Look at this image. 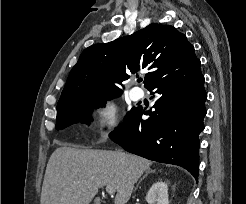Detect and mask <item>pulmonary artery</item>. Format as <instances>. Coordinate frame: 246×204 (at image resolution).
Wrapping results in <instances>:
<instances>
[{"mask_svg":"<svg viewBox=\"0 0 246 204\" xmlns=\"http://www.w3.org/2000/svg\"><path fill=\"white\" fill-rule=\"evenodd\" d=\"M130 97L133 101H139L143 98V91L135 87L131 90Z\"/></svg>","mask_w":246,"mask_h":204,"instance_id":"pulmonary-artery-1","label":"pulmonary artery"}]
</instances>
